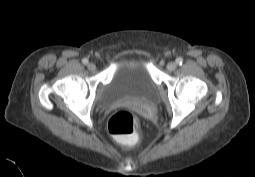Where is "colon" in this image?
Masks as SVG:
<instances>
[{
	"mask_svg": "<svg viewBox=\"0 0 255 177\" xmlns=\"http://www.w3.org/2000/svg\"><path fill=\"white\" fill-rule=\"evenodd\" d=\"M139 121L135 114L128 110L116 112L108 122L109 132L119 141L132 144L139 133Z\"/></svg>",
	"mask_w": 255,
	"mask_h": 177,
	"instance_id": "5ec220e1",
	"label": "colon"
}]
</instances>
